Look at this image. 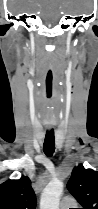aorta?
I'll list each match as a JSON object with an SVG mask.
<instances>
[{"label":"aorta","mask_w":98,"mask_h":209,"mask_svg":"<svg viewBox=\"0 0 98 209\" xmlns=\"http://www.w3.org/2000/svg\"><path fill=\"white\" fill-rule=\"evenodd\" d=\"M63 187L62 181L58 179L51 180L42 192L40 209H59Z\"/></svg>","instance_id":"aorta-1"}]
</instances>
